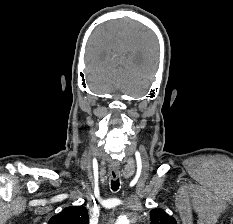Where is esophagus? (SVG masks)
Here are the masks:
<instances>
[{
    "label": "esophagus",
    "mask_w": 233,
    "mask_h": 224,
    "mask_svg": "<svg viewBox=\"0 0 233 224\" xmlns=\"http://www.w3.org/2000/svg\"><path fill=\"white\" fill-rule=\"evenodd\" d=\"M109 174H110V178L113 180H116L120 175L119 171L117 170H111Z\"/></svg>",
    "instance_id": "obj_1"
}]
</instances>
